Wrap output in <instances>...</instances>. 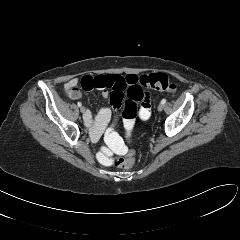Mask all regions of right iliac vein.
I'll list each match as a JSON object with an SVG mask.
<instances>
[{"mask_svg":"<svg viewBox=\"0 0 240 240\" xmlns=\"http://www.w3.org/2000/svg\"><path fill=\"white\" fill-rule=\"evenodd\" d=\"M80 111H81V113H85L86 108H85L84 106H81V107H80Z\"/></svg>","mask_w":240,"mask_h":240,"instance_id":"63e3f726","label":"right iliac vein"}]
</instances>
